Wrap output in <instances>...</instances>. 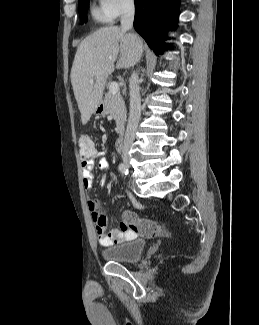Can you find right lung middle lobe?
I'll use <instances>...</instances> for the list:
<instances>
[{"instance_id":"right-lung-middle-lobe-1","label":"right lung middle lobe","mask_w":259,"mask_h":325,"mask_svg":"<svg viewBox=\"0 0 259 325\" xmlns=\"http://www.w3.org/2000/svg\"><path fill=\"white\" fill-rule=\"evenodd\" d=\"M90 0H78L81 22H87V5Z\"/></svg>"}]
</instances>
